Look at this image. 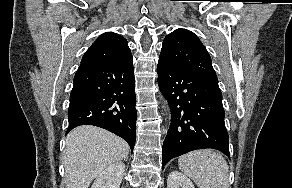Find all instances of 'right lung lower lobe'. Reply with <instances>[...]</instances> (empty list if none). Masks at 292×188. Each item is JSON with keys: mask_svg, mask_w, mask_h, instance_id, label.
<instances>
[{"mask_svg": "<svg viewBox=\"0 0 292 188\" xmlns=\"http://www.w3.org/2000/svg\"><path fill=\"white\" fill-rule=\"evenodd\" d=\"M134 82L132 58L81 63L70 94L67 132L84 124L98 126L122 137L133 151L137 119Z\"/></svg>", "mask_w": 292, "mask_h": 188, "instance_id": "obj_1", "label": "right lung lower lobe"}]
</instances>
